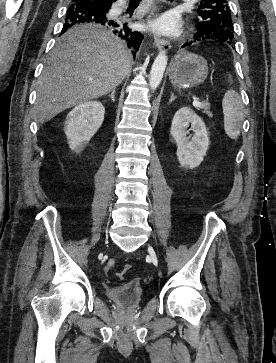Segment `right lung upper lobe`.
I'll return each instance as SVG.
<instances>
[{
    "mask_svg": "<svg viewBox=\"0 0 276 363\" xmlns=\"http://www.w3.org/2000/svg\"><path fill=\"white\" fill-rule=\"evenodd\" d=\"M78 1H81V2H91V1H95L100 6L111 7L112 6V3L115 2L116 0H78Z\"/></svg>",
    "mask_w": 276,
    "mask_h": 363,
    "instance_id": "right-lung-upper-lobe-1",
    "label": "right lung upper lobe"
}]
</instances>
